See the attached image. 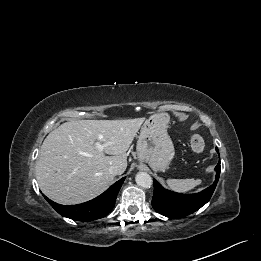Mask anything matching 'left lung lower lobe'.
Masks as SVG:
<instances>
[{
    "label": "left lung lower lobe",
    "instance_id": "left-lung-lower-lobe-1",
    "mask_svg": "<svg viewBox=\"0 0 261 261\" xmlns=\"http://www.w3.org/2000/svg\"><path fill=\"white\" fill-rule=\"evenodd\" d=\"M218 152V149L216 148ZM214 183L196 194H180L164 189L154 180L152 207L156 212L170 218L185 217L205 205L211 198L220 176V161L215 167Z\"/></svg>",
    "mask_w": 261,
    "mask_h": 261
}]
</instances>
